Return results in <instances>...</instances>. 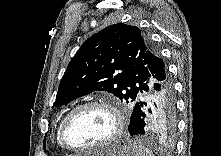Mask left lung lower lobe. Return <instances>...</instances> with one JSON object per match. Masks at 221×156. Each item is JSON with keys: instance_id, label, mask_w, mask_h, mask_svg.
I'll return each instance as SVG.
<instances>
[{"instance_id": "obj_1", "label": "left lung lower lobe", "mask_w": 221, "mask_h": 156, "mask_svg": "<svg viewBox=\"0 0 221 156\" xmlns=\"http://www.w3.org/2000/svg\"><path fill=\"white\" fill-rule=\"evenodd\" d=\"M133 107L128 126L130 135H174L176 100L167 69L154 72L148 78L146 93Z\"/></svg>"}]
</instances>
